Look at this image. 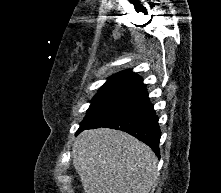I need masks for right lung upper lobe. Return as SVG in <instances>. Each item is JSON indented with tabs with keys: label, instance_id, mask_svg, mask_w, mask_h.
<instances>
[{
	"label": "right lung upper lobe",
	"instance_id": "cb5924a9",
	"mask_svg": "<svg viewBox=\"0 0 221 193\" xmlns=\"http://www.w3.org/2000/svg\"><path fill=\"white\" fill-rule=\"evenodd\" d=\"M112 84H123L145 88V85L143 84L141 77H139L136 73L132 72L131 70L122 71L109 77L104 86Z\"/></svg>",
	"mask_w": 221,
	"mask_h": 193
}]
</instances>
